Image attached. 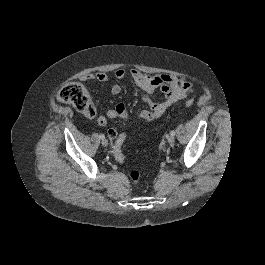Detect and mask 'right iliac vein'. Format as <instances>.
<instances>
[{
    "instance_id": "63e3f726",
    "label": "right iliac vein",
    "mask_w": 265,
    "mask_h": 265,
    "mask_svg": "<svg viewBox=\"0 0 265 265\" xmlns=\"http://www.w3.org/2000/svg\"><path fill=\"white\" fill-rule=\"evenodd\" d=\"M101 144H102L103 146H107V145H108V141H107V139H103L102 142H101Z\"/></svg>"
}]
</instances>
